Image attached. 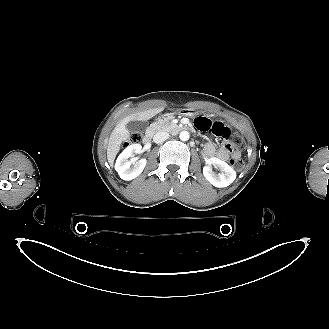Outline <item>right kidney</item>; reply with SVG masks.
Here are the masks:
<instances>
[{
  "mask_svg": "<svg viewBox=\"0 0 329 329\" xmlns=\"http://www.w3.org/2000/svg\"><path fill=\"white\" fill-rule=\"evenodd\" d=\"M142 146L140 144H132L123 150L118 156L115 163V170L123 180H132L138 177L146 166V159H141L136 162L129 160L133 154H140Z\"/></svg>",
  "mask_w": 329,
  "mask_h": 329,
  "instance_id": "1",
  "label": "right kidney"
}]
</instances>
